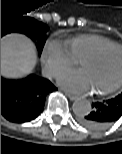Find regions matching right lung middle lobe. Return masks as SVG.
<instances>
[{"label":"right lung middle lobe","mask_w":122,"mask_h":154,"mask_svg":"<svg viewBox=\"0 0 122 154\" xmlns=\"http://www.w3.org/2000/svg\"><path fill=\"white\" fill-rule=\"evenodd\" d=\"M1 26V37L10 32L24 33L36 42L39 54H41L48 31L45 24L30 17H18Z\"/></svg>","instance_id":"1"}]
</instances>
